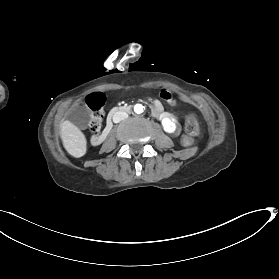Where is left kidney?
I'll return each instance as SVG.
<instances>
[{
	"instance_id": "left-kidney-1",
	"label": "left kidney",
	"mask_w": 279,
	"mask_h": 279,
	"mask_svg": "<svg viewBox=\"0 0 279 279\" xmlns=\"http://www.w3.org/2000/svg\"><path fill=\"white\" fill-rule=\"evenodd\" d=\"M162 129L167 134H175L177 131V124L169 117H163L161 119Z\"/></svg>"
}]
</instances>
